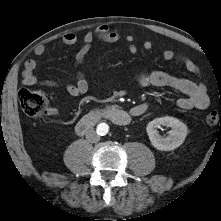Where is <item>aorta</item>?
<instances>
[{
  "label": "aorta",
  "mask_w": 221,
  "mask_h": 221,
  "mask_svg": "<svg viewBox=\"0 0 221 221\" xmlns=\"http://www.w3.org/2000/svg\"><path fill=\"white\" fill-rule=\"evenodd\" d=\"M108 131H109V126L106 123H100L97 126V133L101 136L106 135L108 133Z\"/></svg>",
  "instance_id": "aorta-1"
}]
</instances>
